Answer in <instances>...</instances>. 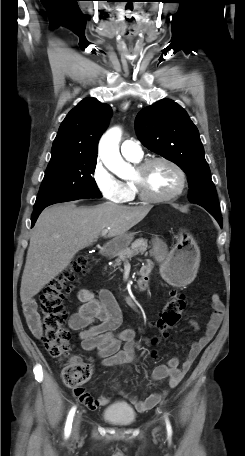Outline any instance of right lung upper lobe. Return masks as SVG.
Here are the masks:
<instances>
[{
    "instance_id": "obj_1",
    "label": "right lung upper lobe",
    "mask_w": 245,
    "mask_h": 456,
    "mask_svg": "<svg viewBox=\"0 0 245 456\" xmlns=\"http://www.w3.org/2000/svg\"><path fill=\"white\" fill-rule=\"evenodd\" d=\"M112 116L108 104L88 97L63 120L53 142L49 163L68 158L97 157L98 140Z\"/></svg>"
}]
</instances>
